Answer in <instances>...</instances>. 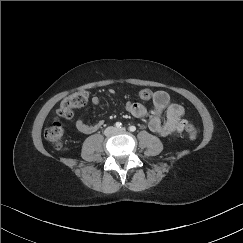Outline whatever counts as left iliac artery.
I'll list each match as a JSON object with an SVG mask.
<instances>
[{"label": "left iliac artery", "mask_w": 243, "mask_h": 243, "mask_svg": "<svg viewBox=\"0 0 243 243\" xmlns=\"http://www.w3.org/2000/svg\"><path fill=\"white\" fill-rule=\"evenodd\" d=\"M128 130L131 131V132H134V131L136 130V127H135V126H130V127L128 128Z\"/></svg>", "instance_id": "left-iliac-artery-1"}]
</instances>
